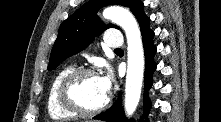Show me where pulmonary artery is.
Instances as JSON below:
<instances>
[{
    "instance_id": "1",
    "label": "pulmonary artery",
    "mask_w": 221,
    "mask_h": 122,
    "mask_svg": "<svg viewBox=\"0 0 221 122\" xmlns=\"http://www.w3.org/2000/svg\"><path fill=\"white\" fill-rule=\"evenodd\" d=\"M105 43L110 48L118 49L123 45V38L118 31H112L106 35Z\"/></svg>"
}]
</instances>
